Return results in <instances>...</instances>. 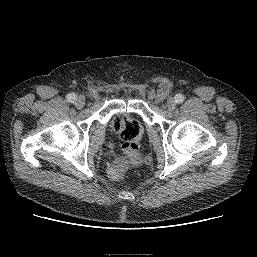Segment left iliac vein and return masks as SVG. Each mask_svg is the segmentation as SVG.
<instances>
[{
  "instance_id": "1",
  "label": "left iliac vein",
  "mask_w": 257,
  "mask_h": 257,
  "mask_svg": "<svg viewBox=\"0 0 257 257\" xmlns=\"http://www.w3.org/2000/svg\"><path fill=\"white\" fill-rule=\"evenodd\" d=\"M176 107V101L173 99V98H169L166 102V108L169 110V111H172L174 110Z\"/></svg>"
}]
</instances>
